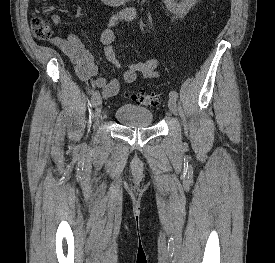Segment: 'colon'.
Listing matches in <instances>:
<instances>
[{"instance_id": "5ec220e1", "label": "colon", "mask_w": 275, "mask_h": 263, "mask_svg": "<svg viewBox=\"0 0 275 263\" xmlns=\"http://www.w3.org/2000/svg\"><path fill=\"white\" fill-rule=\"evenodd\" d=\"M32 26L35 36L39 40H48L52 36L49 22L40 15H35L32 19ZM132 100L142 106L154 107L160 104V98L153 93H131Z\"/></svg>"}]
</instances>
